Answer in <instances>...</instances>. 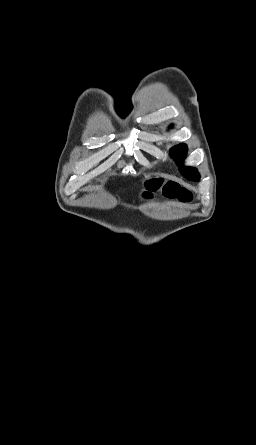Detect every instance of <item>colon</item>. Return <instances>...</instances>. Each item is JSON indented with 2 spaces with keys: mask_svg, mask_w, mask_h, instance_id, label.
Here are the masks:
<instances>
[{
  "mask_svg": "<svg viewBox=\"0 0 256 445\" xmlns=\"http://www.w3.org/2000/svg\"><path fill=\"white\" fill-rule=\"evenodd\" d=\"M167 199H178L181 202H190L191 193L180 187L177 183L168 182L163 183L160 180H151L147 184V190L143 193L144 198H150L153 193L160 191Z\"/></svg>",
  "mask_w": 256,
  "mask_h": 445,
  "instance_id": "5ec220e1",
  "label": "colon"
}]
</instances>
